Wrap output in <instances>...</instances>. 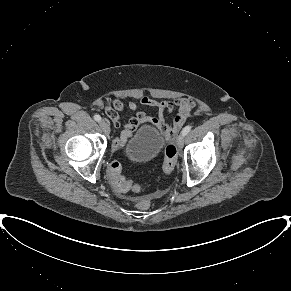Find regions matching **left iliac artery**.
Listing matches in <instances>:
<instances>
[{
    "label": "left iliac artery",
    "mask_w": 291,
    "mask_h": 291,
    "mask_svg": "<svg viewBox=\"0 0 291 291\" xmlns=\"http://www.w3.org/2000/svg\"><path fill=\"white\" fill-rule=\"evenodd\" d=\"M191 128H192V126H190V125L184 127V129L182 130V135H184V136L187 135L190 132Z\"/></svg>",
    "instance_id": "left-iliac-artery-1"
}]
</instances>
